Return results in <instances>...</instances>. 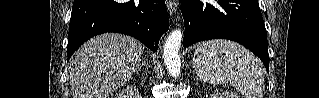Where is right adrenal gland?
Segmentation results:
<instances>
[{"instance_id": "1", "label": "right adrenal gland", "mask_w": 319, "mask_h": 98, "mask_svg": "<svg viewBox=\"0 0 319 98\" xmlns=\"http://www.w3.org/2000/svg\"><path fill=\"white\" fill-rule=\"evenodd\" d=\"M143 60H144V62H142L140 67L145 66L147 68L148 67L147 58L143 56Z\"/></svg>"}]
</instances>
